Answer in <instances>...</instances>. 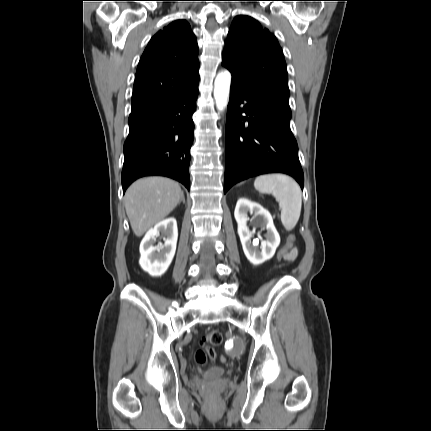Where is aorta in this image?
Returning <instances> with one entry per match:
<instances>
[{
	"label": "aorta",
	"mask_w": 431,
	"mask_h": 431,
	"mask_svg": "<svg viewBox=\"0 0 431 431\" xmlns=\"http://www.w3.org/2000/svg\"><path fill=\"white\" fill-rule=\"evenodd\" d=\"M230 84V72L223 71L217 74L214 81V99L216 102V107L220 111L224 110L227 105Z\"/></svg>",
	"instance_id": "762f6f07"
}]
</instances>
